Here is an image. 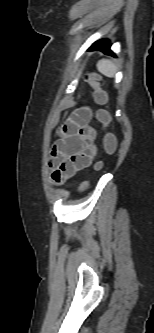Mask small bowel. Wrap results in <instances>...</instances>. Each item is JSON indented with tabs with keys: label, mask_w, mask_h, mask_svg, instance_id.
<instances>
[{
	"label": "small bowel",
	"mask_w": 154,
	"mask_h": 333,
	"mask_svg": "<svg viewBox=\"0 0 154 333\" xmlns=\"http://www.w3.org/2000/svg\"><path fill=\"white\" fill-rule=\"evenodd\" d=\"M92 115L87 107L77 109L61 128L60 138L52 147L49 161L54 184H63L92 165L97 154V132L90 125Z\"/></svg>",
	"instance_id": "c3829d8e"
}]
</instances>
